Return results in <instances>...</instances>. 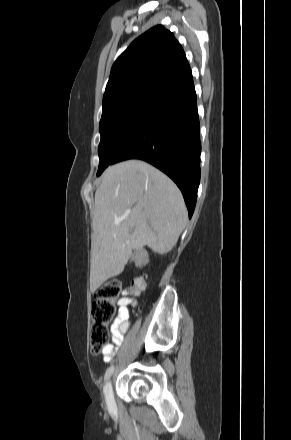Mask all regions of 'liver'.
I'll return each instance as SVG.
<instances>
[{
    "label": "liver",
    "instance_id": "6515ba94",
    "mask_svg": "<svg viewBox=\"0 0 291 440\" xmlns=\"http://www.w3.org/2000/svg\"><path fill=\"white\" fill-rule=\"evenodd\" d=\"M186 222L183 196L164 173L140 160L109 166L95 193L91 291L121 274L132 250L171 251Z\"/></svg>",
    "mask_w": 291,
    "mask_h": 440
}]
</instances>
